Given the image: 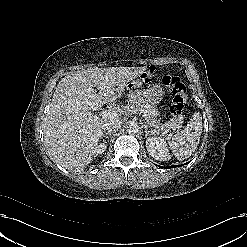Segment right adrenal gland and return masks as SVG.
<instances>
[{
    "instance_id": "1",
    "label": "right adrenal gland",
    "mask_w": 247,
    "mask_h": 247,
    "mask_svg": "<svg viewBox=\"0 0 247 247\" xmlns=\"http://www.w3.org/2000/svg\"><path fill=\"white\" fill-rule=\"evenodd\" d=\"M109 136H111V133H104L102 137H104L105 139H108ZM106 142V140H105Z\"/></svg>"
}]
</instances>
